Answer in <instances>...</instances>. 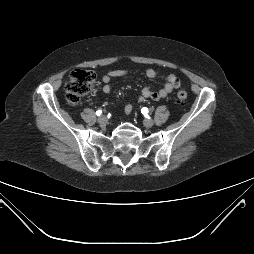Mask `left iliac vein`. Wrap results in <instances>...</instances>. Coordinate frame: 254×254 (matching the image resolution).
<instances>
[{
  "instance_id": "1",
  "label": "left iliac vein",
  "mask_w": 254,
  "mask_h": 254,
  "mask_svg": "<svg viewBox=\"0 0 254 254\" xmlns=\"http://www.w3.org/2000/svg\"><path fill=\"white\" fill-rule=\"evenodd\" d=\"M143 124H144L145 127L149 128V127H152L154 125V121L151 120V119L145 118L143 120Z\"/></svg>"
}]
</instances>
